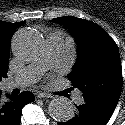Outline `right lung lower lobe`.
<instances>
[{
  "instance_id": "98d812e1",
  "label": "right lung lower lobe",
  "mask_w": 125,
  "mask_h": 125,
  "mask_svg": "<svg viewBox=\"0 0 125 125\" xmlns=\"http://www.w3.org/2000/svg\"><path fill=\"white\" fill-rule=\"evenodd\" d=\"M35 100L34 95L25 91L18 96L3 98L0 92V125H20L22 108Z\"/></svg>"
}]
</instances>
